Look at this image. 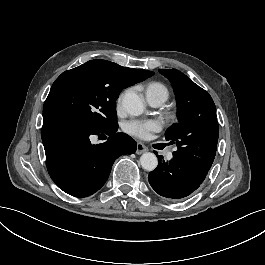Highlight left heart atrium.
<instances>
[{"label":"left heart atrium","mask_w":265,"mask_h":265,"mask_svg":"<svg viewBox=\"0 0 265 265\" xmlns=\"http://www.w3.org/2000/svg\"><path fill=\"white\" fill-rule=\"evenodd\" d=\"M160 128L161 125L156 120H132L126 125V131L140 139H149L151 133L160 130Z\"/></svg>","instance_id":"left-heart-atrium-1"}]
</instances>
